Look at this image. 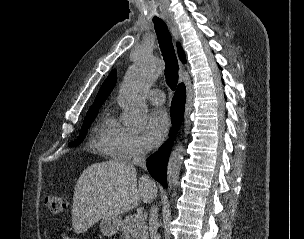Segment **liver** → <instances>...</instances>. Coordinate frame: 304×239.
<instances>
[{"mask_svg": "<svg viewBox=\"0 0 304 239\" xmlns=\"http://www.w3.org/2000/svg\"><path fill=\"white\" fill-rule=\"evenodd\" d=\"M157 191L144 176L137 183L136 169L130 164L110 160L88 166L75 185L73 229L83 233L104 217L136 208L140 200L150 203Z\"/></svg>", "mask_w": 304, "mask_h": 239, "instance_id": "obj_1", "label": "liver"}]
</instances>
